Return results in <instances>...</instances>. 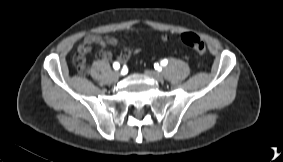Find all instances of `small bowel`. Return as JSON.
Wrapping results in <instances>:
<instances>
[{"instance_id": "1", "label": "small bowel", "mask_w": 283, "mask_h": 162, "mask_svg": "<svg viewBox=\"0 0 283 162\" xmlns=\"http://www.w3.org/2000/svg\"><path fill=\"white\" fill-rule=\"evenodd\" d=\"M118 43L117 38L113 36H101L98 34H88L84 37L81 44L78 46L77 49V55L83 57L85 59V56L87 53L90 52L91 47L93 45H99L101 47V50L97 54V58L100 61H107L112 59V53L110 50L107 49L108 45H115ZM132 53L131 50H124L120 60L122 62L126 61L129 55Z\"/></svg>"}]
</instances>
